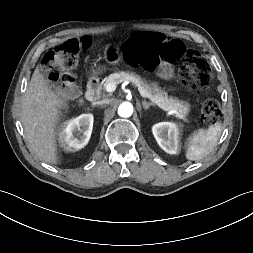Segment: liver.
Here are the masks:
<instances>
[{"label": "liver", "mask_w": 253, "mask_h": 253, "mask_svg": "<svg viewBox=\"0 0 253 253\" xmlns=\"http://www.w3.org/2000/svg\"><path fill=\"white\" fill-rule=\"evenodd\" d=\"M62 100L36 68L22 101L21 121L31 150L42 161L57 164L56 126Z\"/></svg>", "instance_id": "obj_1"}]
</instances>
